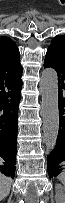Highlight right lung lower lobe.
I'll use <instances>...</instances> for the list:
<instances>
[{"label": "right lung lower lobe", "mask_w": 65, "mask_h": 203, "mask_svg": "<svg viewBox=\"0 0 65 203\" xmlns=\"http://www.w3.org/2000/svg\"><path fill=\"white\" fill-rule=\"evenodd\" d=\"M22 70L0 75V172L14 178ZM4 160V161H3Z\"/></svg>", "instance_id": "98d812e1"}]
</instances>
